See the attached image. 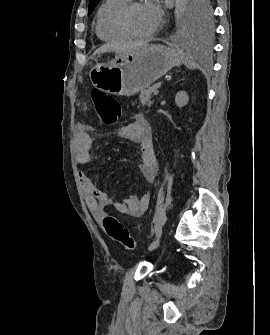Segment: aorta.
<instances>
[{
  "label": "aorta",
  "instance_id": "obj_1",
  "mask_svg": "<svg viewBox=\"0 0 270 335\" xmlns=\"http://www.w3.org/2000/svg\"><path fill=\"white\" fill-rule=\"evenodd\" d=\"M187 0H175V18L180 20L186 10Z\"/></svg>",
  "mask_w": 270,
  "mask_h": 335
}]
</instances>
